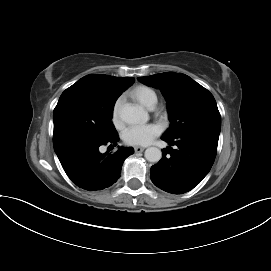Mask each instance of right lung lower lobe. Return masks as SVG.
I'll return each instance as SVG.
<instances>
[{
  "mask_svg": "<svg viewBox=\"0 0 271 271\" xmlns=\"http://www.w3.org/2000/svg\"><path fill=\"white\" fill-rule=\"evenodd\" d=\"M112 138L86 140L65 146L56 154L68 177L78 187L96 191L114 184L120 176L124 160L134 153L133 148H120L114 154L99 152L101 145H117Z\"/></svg>",
  "mask_w": 271,
  "mask_h": 271,
  "instance_id": "obj_1",
  "label": "right lung lower lobe"
}]
</instances>
